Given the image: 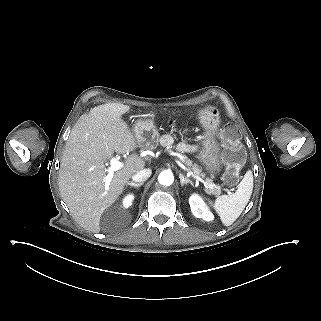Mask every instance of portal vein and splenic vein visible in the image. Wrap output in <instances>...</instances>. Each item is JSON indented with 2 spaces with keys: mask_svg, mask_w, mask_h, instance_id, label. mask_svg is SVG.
Listing matches in <instances>:
<instances>
[{
  "mask_svg": "<svg viewBox=\"0 0 321 321\" xmlns=\"http://www.w3.org/2000/svg\"><path fill=\"white\" fill-rule=\"evenodd\" d=\"M174 162H177V165L181 166V169H183L184 172L189 171V169H186L185 166L182 165V163H180V161H177V159H174ZM122 167H123V163L118 161L116 158H112L110 160V167L107 169L108 174L104 178L105 192L103 193V195L107 194V192L109 191L110 183H111V180L114 176V172L118 171ZM196 180L200 181L203 184V186H206V181H204L202 178H199V176H196ZM208 187H210V186H208Z\"/></svg>",
  "mask_w": 321,
  "mask_h": 321,
  "instance_id": "obj_1",
  "label": "portal vein and splenic vein"
}]
</instances>
